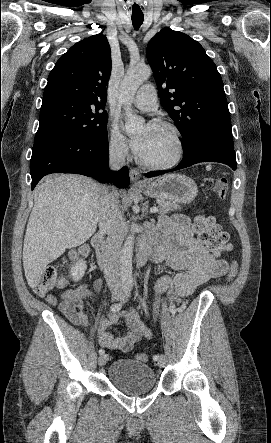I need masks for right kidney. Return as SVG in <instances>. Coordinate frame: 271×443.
<instances>
[{
    "label": "right kidney",
    "instance_id": "right-kidney-1",
    "mask_svg": "<svg viewBox=\"0 0 271 443\" xmlns=\"http://www.w3.org/2000/svg\"><path fill=\"white\" fill-rule=\"evenodd\" d=\"M86 267L87 263L86 261H83V259H78V261H75L74 265H72L70 269L72 279H74V281H79V279H82L86 271Z\"/></svg>",
    "mask_w": 271,
    "mask_h": 443
}]
</instances>
